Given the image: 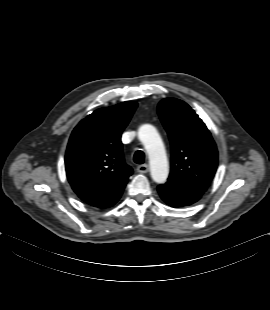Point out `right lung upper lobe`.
<instances>
[{"instance_id":"cb5924a9","label":"right lung upper lobe","mask_w":270,"mask_h":310,"mask_svg":"<svg viewBox=\"0 0 270 310\" xmlns=\"http://www.w3.org/2000/svg\"><path fill=\"white\" fill-rule=\"evenodd\" d=\"M137 103L100 108L73 130L66 150L68 181L78 197L95 205L123 188L133 173L125 164L121 134Z\"/></svg>"}]
</instances>
